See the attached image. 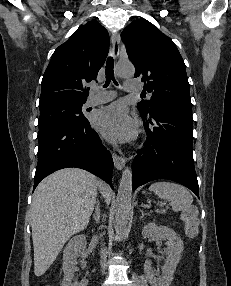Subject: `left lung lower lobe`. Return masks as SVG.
I'll return each instance as SVG.
<instances>
[{"label":"left lung lower lobe","mask_w":231,"mask_h":286,"mask_svg":"<svg viewBox=\"0 0 231 286\" xmlns=\"http://www.w3.org/2000/svg\"><path fill=\"white\" fill-rule=\"evenodd\" d=\"M192 108L155 104L144 118L147 140L133 161V189L156 179L178 182L197 197L192 155Z\"/></svg>","instance_id":"0a47b994"}]
</instances>
